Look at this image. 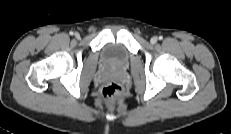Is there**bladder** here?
<instances>
[{"label":"bladder","instance_id":"1","mask_svg":"<svg viewBox=\"0 0 231 134\" xmlns=\"http://www.w3.org/2000/svg\"><path fill=\"white\" fill-rule=\"evenodd\" d=\"M102 60L105 64L114 67H124L129 61V52L119 43H109L102 49Z\"/></svg>","mask_w":231,"mask_h":134}]
</instances>
